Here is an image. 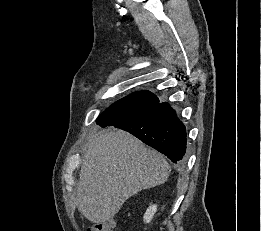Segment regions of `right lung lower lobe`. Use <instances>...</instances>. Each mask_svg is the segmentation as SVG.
Returning <instances> with one entry per match:
<instances>
[{
    "label": "right lung lower lobe",
    "mask_w": 261,
    "mask_h": 231,
    "mask_svg": "<svg viewBox=\"0 0 261 231\" xmlns=\"http://www.w3.org/2000/svg\"><path fill=\"white\" fill-rule=\"evenodd\" d=\"M114 127L133 134L166 155L173 163L183 162L187 142L185 126L167 102L158 103Z\"/></svg>",
    "instance_id": "98d812e1"
}]
</instances>
